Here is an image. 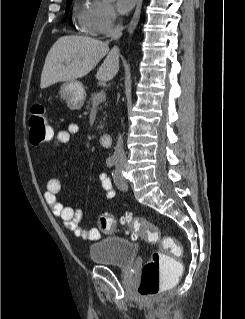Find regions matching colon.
I'll use <instances>...</instances> for the list:
<instances>
[{"instance_id":"1","label":"colon","mask_w":245,"mask_h":319,"mask_svg":"<svg viewBox=\"0 0 245 319\" xmlns=\"http://www.w3.org/2000/svg\"><path fill=\"white\" fill-rule=\"evenodd\" d=\"M29 138L35 146L43 145L52 138V130L47 123L45 106L42 103L32 107L29 118ZM121 223L127 224V232H130L133 237L142 236L150 243H159L163 249L153 253L142 269L138 291L143 298L151 299L182 272V267L176 264L168 254L180 256L182 248L174 237L161 238L158 227L145 218L126 213ZM98 227L104 232L113 233L117 230V221L109 214H102L98 218Z\"/></svg>"}]
</instances>
